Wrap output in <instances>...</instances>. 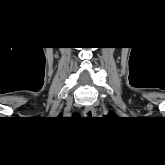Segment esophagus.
<instances>
[{
	"mask_svg": "<svg viewBox=\"0 0 165 165\" xmlns=\"http://www.w3.org/2000/svg\"><path fill=\"white\" fill-rule=\"evenodd\" d=\"M96 115V111L93 107H86L84 109V116L85 117H94Z\"/></svg>",
	"mask_w": 165,
	"mask_h": 165,
	"instance_id": "1",
	"label": "esophagus"
}]
</instances>
